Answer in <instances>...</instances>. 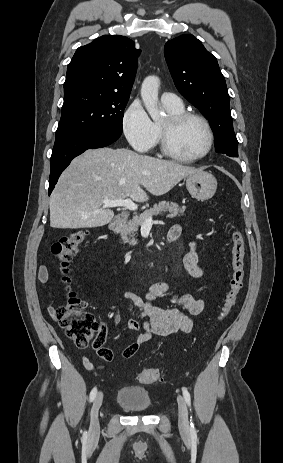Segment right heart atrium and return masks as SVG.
Masks as SVG:
<instances>
[{
  "label": "right heart atrium",
  "instance_id": "d8ad5b80",
  "mask_svg": "<svg viewBox=\"0 0 283 463\" xmlns=\"http://www.w3.org/2000/svg\"><path fill=\"white\" fill-rule=\"evenodd\" d=\"M122 129L129 144L139 152L152 149L158 139L155 123L138 100L133 101L126 109Z\"/></svg>",
  "mask_w": 283,
  "mask_h": 463
}]
</instances>
